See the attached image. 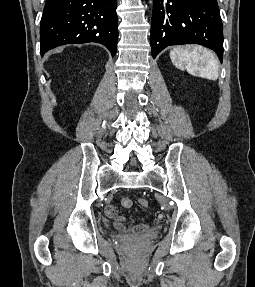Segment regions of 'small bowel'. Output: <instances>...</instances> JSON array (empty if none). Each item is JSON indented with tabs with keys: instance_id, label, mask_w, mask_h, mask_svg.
<instances>
[{
	"instance_id": "c3829d8e",
	"label": "small bowel",
	"mask_w": 255,
	"mask_h": 287,
	"mask_svg": "<svg viewBox=\"0 0 255 287\" xmlns=\"http://www.w3.org/2000/svg\"><path fill=\"white\" fill-rule=\"evenodd\" d=\"M121 204L124 208H130L132 206V201L129 198H123ZM106 215L113 220L114 225L118 229H127L124 227V223L127 222V218L121 216L117 212V206L113 203L108 204L105 208ZM164 214L162 212H156L154 214L153 221L146 224H138L128 229L132 232H147L154 229L155 226L163 222Z\"/></svg>"
}]
</instances>
